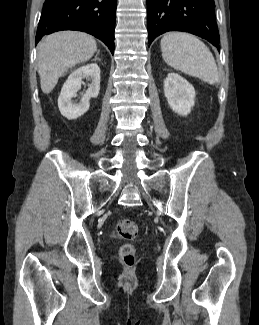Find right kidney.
Returning <instances> with one entry per match:
<instances>
[{
  "label": "right kidney",
  "mask_w": 259,
  "mask_h": 325,
  "mask_svg": "<svg viewBox=\"0 0 259 325\" xmlns=\"http://www.w3.org/2000/svg\"><path fill=\"white\" fill-rule=\"evenodd\" d=\"M91 79V84L83 95L80 103H73L77 91L81 88L82 79ZM100 91V68L96 63H90L73 71L64 83L58 98L61 114L69 120L76 119L87 112L90 99L96 98Z\"/></svg>",
  "instance_id": "ca27d5eb"
}]
</instances>
